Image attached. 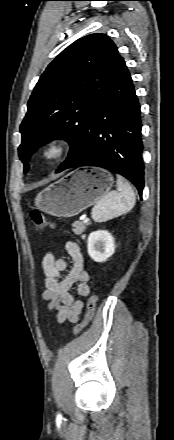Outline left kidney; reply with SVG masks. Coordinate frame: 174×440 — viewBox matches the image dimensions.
Masks as SVG:
<instances>
[{
	"mask_svg": "<svg viewBox=\"0 0 174 440\" xmlns=\"http://www.w3.org/2000/svg\"><path fill=\"white\" fill-rule=\"evenodd\" d=\"M87 249L95 262H105L115 252L114 238L108 231H94L88 237Z\"/></svg>",
	"mask_w": 174,
	"mask_h": 440,
	"instance_id": "obj_1",
	"label": "left kidney"
}]
</instances>
